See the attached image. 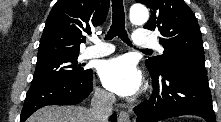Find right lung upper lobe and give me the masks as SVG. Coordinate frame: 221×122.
Masks as SVG:
<instances>
[{"instance_id": "cb5924a9", "label": "right lung upper lobe", "mask_w": 221, "mask_h": 122, "mask_svg": "<svg viewBox=\"0 0 221 122\" xmlns=\"http://www.w3.org/2000/svg\"><path fill=\"white\" fill-rule=\"evenodd\" d=\"M108 9L109 0H58L47 18L37 58L79 54L83 34L101 25Z\"/></svg>"}]
</instances>
